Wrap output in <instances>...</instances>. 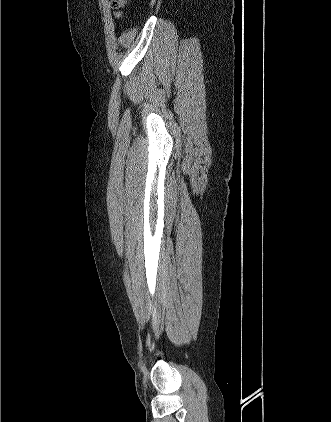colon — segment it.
<instances>
[{"mask_svg":"<svg viewBox=\"0 0 331 422\" xmlns=\"http://www.w3.org/2000/svg\"><path fill=\"white\" fill-rule=\"evenodd\" d=\"M110 4L114 9H120L124 6L125 0H110ZM119 15V13H117Z\"/></svg>","mask_w":331,"mask_h":422,"instance_id":"1","label":"colon"}]
</instances>
